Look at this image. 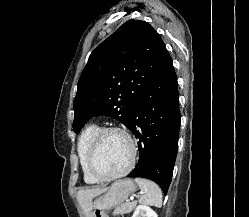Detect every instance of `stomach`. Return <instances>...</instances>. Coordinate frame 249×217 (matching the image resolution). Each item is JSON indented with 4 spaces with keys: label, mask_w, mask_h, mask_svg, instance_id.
Here are the masks:
<instances>
[{
    "label": "stomach",
    "mask_w": 249,
    "mask_h": 217,
    "mask_svg": "<svg viewBox=\"0 0 249 217\" xmlns=\"http://www.w3.org/2000/svg\"><path fill=\"white\" fill-rule=\"evenodd\" d=\"M136 189V184L132 179L126 178L115 181L105 195L98 197L94 201L93 217L102 216L112 208L121 205Z\"/></svg>",
    "instance_id": "stomach-1"
}]
</instances>
